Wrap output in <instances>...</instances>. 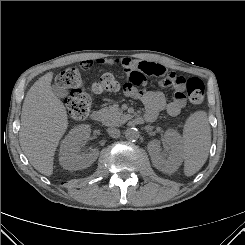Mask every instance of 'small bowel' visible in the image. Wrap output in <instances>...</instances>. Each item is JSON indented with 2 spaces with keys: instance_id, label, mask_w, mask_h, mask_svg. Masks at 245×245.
I'll use <instances>...</instances> for the list:
<instances>
[{
  "instance_id": "obj_1",
  "label": "small bowel",
  "mask_w": 245,
  "mask_h": 245,
  "mask_svg": "<svg viewBox=\"0 0 245 245\" xmlns=\"http://www.w3.org/2000/svg\"><path fill=\"white\" fill-rule=\"evenodd\" d=\"M112 64H120L124 68L128 75V81L122 86L123 93L128 97L141 101L146 109L145 116L150 117L151 120H154L161 111H166L170 116H178L186 106L185 79L173 72H168L165 67L158 63L129 57L115 59L97 58L95 61L84 60L81 62V66L84 69H89L92 66L105 67ZM133 73H140L144 78L145 75L163 77L160 85L173 88L172 99L167 101L163 92L148 90L145 79L141 85H134L130 81V76Z\"/></svg>"
}]
</instances>
